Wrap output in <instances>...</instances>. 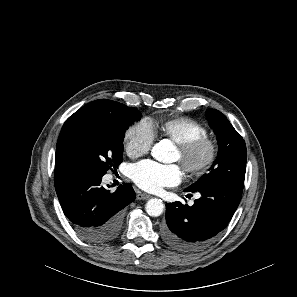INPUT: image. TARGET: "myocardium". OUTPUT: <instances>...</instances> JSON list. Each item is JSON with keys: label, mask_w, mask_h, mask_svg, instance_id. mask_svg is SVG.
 Instances as JSON below:
<instances>
[{"label": "myocardium", "mask_w": 297, "mask_h": 297, "mask_svg": "<svg viewBox=\"0 0 297 297\" xmlns=\"http://www.w3.org/2000/svg\"><path fill=\"white\" fill-rule=\"evenodd\" d=\"M180 153V161L186 173L194 179L205 176L218 158L219 148L215 139L210 136H203L189 142L177 144ZM204 154L202 161L196 158Z\"/></svg>", "instance_id": "f54148a6"}]
</instances>
